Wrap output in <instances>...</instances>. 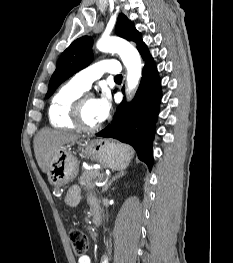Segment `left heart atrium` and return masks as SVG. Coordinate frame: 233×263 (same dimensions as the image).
Wrapping results in <instances>:
<instances>
[{
	"mask_svg": "<svg viewBox=\"0 0 233 263\" xmlns=\"http://www.w3.org/2000/svg\"><path fill=\"white\" fill-rule=\"evenodd\" d=\"M111 109V98L107 90H103L101 94L95 99L94 115L96 121L101 123L104 121Z\"/></svg>",
	"mask_w": 233,
	"mask_h": 263,
	"instance_id": "1",
	"label": "left heart atrium"
}]
</instances>
